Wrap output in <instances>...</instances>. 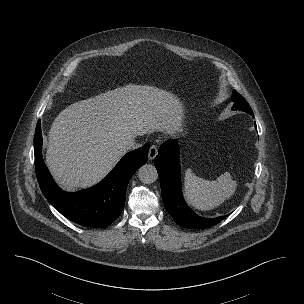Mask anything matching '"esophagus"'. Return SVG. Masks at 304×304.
I'll return each mask as SVG.
<instances>
[{
    "mask_svg": "<svg viewBox=\"0 0 304 304\" xmlns=\"http://www.w3.org/2000/svg\"><path fill=\"white\" fill-rule=\"evenodd\" d=\"M158 153V148L155 145H152L149 149L148 158L149 160H153Z\"/></svg>",
    "mask_w": 304,
    "mask_h": 304,
    "instance_id": "esophagus-1",
    "label": "esophagus"
}]
</instances>
